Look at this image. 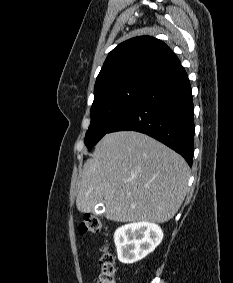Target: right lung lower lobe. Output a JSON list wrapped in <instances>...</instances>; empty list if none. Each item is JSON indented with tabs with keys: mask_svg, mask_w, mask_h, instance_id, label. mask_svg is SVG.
I'll use <instances>...</instances> for the list:
<instances>
[{
	"mask_svg": "<svg viewBox=\"0 0 233 283\" xmlns=\"http://www.w3.org/2000/svg\"><path fill=\"white\" fill-rule=\"evenodd\" d=\"M193 110L190 82L179 64L150 81L108 133L138 131L147 134L182 155L192 166Z\"/></svg>",
	"mask_w": 233,
	"mask_h": 283,
	"instance_id": "98d812e1",
	"label": "right lung lower lobe"
}]
</instances>
